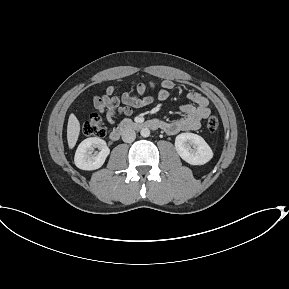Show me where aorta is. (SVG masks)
Masks as SVG:
<instances>
[{
    "label": "aorta",
    "instance_id": "obj_1",
    "mask_svg": "<svg viewBox=\"0 0 289 289\" xmlns=\"http://www.w3.org/2000/svg\"><path fill=\"white\" fill-rule=\"evenodd\" d=\"M140 134L142 137H149L150 130L148 128H143V129H141Z\"/></svg>",
    "mask_w": 289,
    "mask_h": 289
}]
</instances>
